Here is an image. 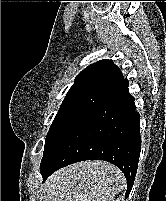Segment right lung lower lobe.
I'll return each instance as SVG.
<instances>
[{
	"label": "right lung lower lobe",
	"mask_w": 166,
	"mask_h": 201,
	"mask_svg": "<svg viewBox=\"0 0 166 201\" xmlns=\"http://www.w3.org/2000/svg\"><path fill=\"white\" fill-rule=\"evenodd\" d=\"M124 79L95 111L56 150L41 168L45 181L54 171L84 160H104L116 165L127 180L129 196L141 151L140 115Z\"/></svg>",
	"instance_id": "98d812e1"
}]
</instances>
